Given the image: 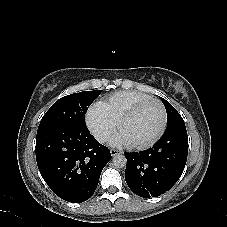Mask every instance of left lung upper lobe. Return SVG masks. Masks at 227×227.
I'll list each match as a JSON object with an SVG mask.
<instances>
[{
    "mask_svg": "<svg viewBox=\"0 0 227 227\" xmlns=\"http://www.w3.org/2000/svg\"><path fill=\"white\" fill-rule=\"evenodd\" d=\"M167 111V127L185 125L177 110L164 98L160 97Z\"/></svg>",
    "mask_w": 227,
    "mask_h": 227,
    "instance_id": "5c2ea615",
    "label": "left lung upper lobe"
}]
</instances>
